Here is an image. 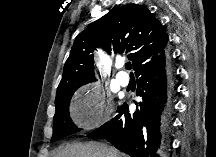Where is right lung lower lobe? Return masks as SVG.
Returning <instances> with one entry per match:
<instances>
[{
  "label": "right lung lower lobe",
  "instance_id": "obj_1",
  "mask_svg": "<svg viewBox=\"0 0 216 157\" xmlns=\"http://www.w3.org/2000/svg\"><path fill=\"white\" fill-rule=\"evenodd\" d=\"M142 101L134 113L123 103L109 122L88 134L131 157H164L172 115V71L165 52L135 71Z\"/></svg>",
  "mask_w": 216,
  "mask_h": 157
}]
</instances>
